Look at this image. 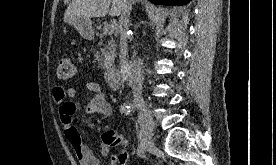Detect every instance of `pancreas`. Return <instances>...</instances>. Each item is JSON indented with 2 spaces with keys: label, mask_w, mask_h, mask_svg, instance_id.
<instances>
[{
  "label": "pancreas",
  "mask_w": 276,
  "mask_h": 165,
  "mask_svg": "<svg viewBox=\"0 0 276 165\" xmlns=\"http://www.w3.org/2000/svg\"><path fill=\"white\" fill-rule=\"evenodd\" d=\"M102 35H100V38ZM102 43H99L101 45ZM95 60L98 62V67L101 69H106L115 57V47L114 43L110 42L106 47L100 48L94 54Z\"/></svg>",
  "instance_id": "1"
}]
</instances>
